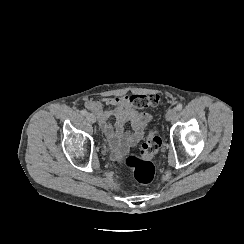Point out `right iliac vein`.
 Here are the masks:
<instances>
[{
  "label": "right iliac vein",
  "instance_id": "right-iliac-vein-1",
  "mask_svg": "<svg viewBox=\"0 0 244 244\" xmlns=\"http://www.w3.org/2000/svg\"><path fill=\"white\" fill-rule=\"evenodd\" d=\"M86 119L89 122H91V123H95L96 122V117L92 113H87L86 114Z\"/></svg>",
  "mask_w": 244,
  "mask_h": 244
}]
</instances>
